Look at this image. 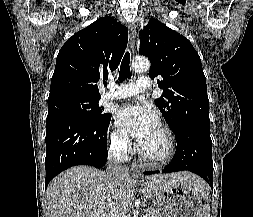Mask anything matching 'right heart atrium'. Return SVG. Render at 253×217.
Returning a JSON list of instances; mask_svg holds the SVG:
<instances>
[{
  "label": "right heart atrium",
  "mask_w": 253,
  "mask_h": 217,
  "mask_svg": "<svg viewBox=\"0 0 253 217\" xmlns=\"http://www.w3.org/2000/svg\"><path fill=\"white\" fill-rule=\"evenodd\" d=\"M110 144L113 151L123 158L127 157L131 152V141L121 129H114L111 132Z\"/></svg>",
  "instance_id": "right-heart-atrium-1"
}]
</instances>
